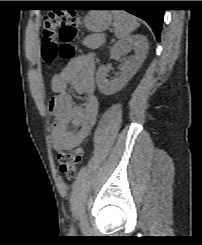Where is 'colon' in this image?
<instances>
[{"label": "colon", "mask_w": 202, "mask_h": 245, "mask_svg": "<svg viewBox=\"0 0 202 245\" xmlns=\"http://www.w3.org/2000/svg\"><path fill=\"white\" fill-rule=\"evenodd\" d=\"M80 25L76 16L70 12L51 13L43 19L41 57L47 64H52L57 57L66 61L74 58V41ZM84 148L74 147L59 155L60 172L67 179L76 176L82 162Z\"/></svg>", "instance_id": "obj_1"}]
</instances>
